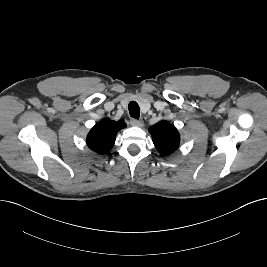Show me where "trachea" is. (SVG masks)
<instances>
[{
	"label": "trachea",
	"mask_w": 267,
	"mask_h": 267,
	"mask_svg": "<svg viewBox=\"0 0 267 267\" xmlns=\"http://www.w3.org/2000/svg\"><path fill=\"white\" fill-rule=\"evenodd\" d=\"M130 116L138 119L140 116V108L139 105L135 101H131L128 105Z\"/></svg>",
	"instance_id": "1"
}]
</instances>
